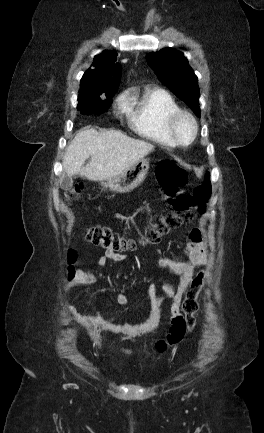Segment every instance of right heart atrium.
I'll use <instances>...</instances> for the list:
<instances>
[{
	"label": "right heart atrium",
	"mask_w": 264,
	"mask_h": 433,
	"mask_svg": "<svg viewBox=\"0 0 264 433\" xmlns=\"http://www.w3.org/2000/svg\"><path fill=\"white\" fill-rule=\"evenodd\" d=\"M127 106V97L125 94L120 95L116 100V108L118 111L126 110Z\"/></svg>",
	"instance_id": "right-heart-atrium-1"
}]
</instances>
